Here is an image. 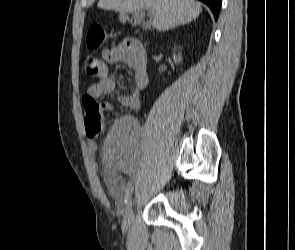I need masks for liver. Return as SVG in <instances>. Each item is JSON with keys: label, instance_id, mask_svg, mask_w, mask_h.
Returning a JSON list of instances; mask_svg holds the SVG:
<instances>
[{"label": "liver", "instance_id": "6515ba94", "mask_svg": "<svg viewBox=\"0 0 295 250\" xmlns=\"http://www.w3.org/2000/svg\"><path fill=\"white\" fill-rule=\"evenodd\" d=\"M150 7V24L158 31H166L195 20L202 11L194 0H99L98 8L133 13Z\"/></svg>", "mask_w": 295, "mask_h": 250}]
</instances>
